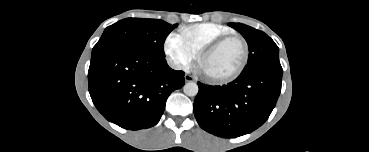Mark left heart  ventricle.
Returning <instances> with one entry per match:
<instances>
[{
  "mask_svg": "<svg viewBox=\"0 0 369 152\" xmlns=\"http://www.w3.org/2000/svg\"><path fill=\"white\" fill-rule=\"evenodd\" d=\"M243 59V47L237 40H232L207 55L201 62L203 73L213 77L226 76L234 72Z\"/></svg>",
  "mask_w": 369,
  "mask_h": 152,
  "instance_id": "1",
  "label": "left heart ventricle"
}]
</instances>
